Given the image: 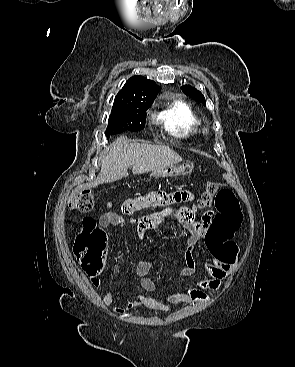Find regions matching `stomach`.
<instances>
[{
	"instance_id": "obj_1",
	"label": "stomach",
	"mask_w": 295,
	"mask_h": 367,
	"mask_svg": "<svg viewBox=\"0 0 295 367\" xmlns=\"http://www.w3.org/2000/svg\"><path fill=\"white\" fill-rule=\"evenodd\" d=\"M193 169V165L185 162L175 163L169 167H165L158 171L151 173V176H161V177H177L183 176L190 173Z\"/></svg>"
}]
</instances>
